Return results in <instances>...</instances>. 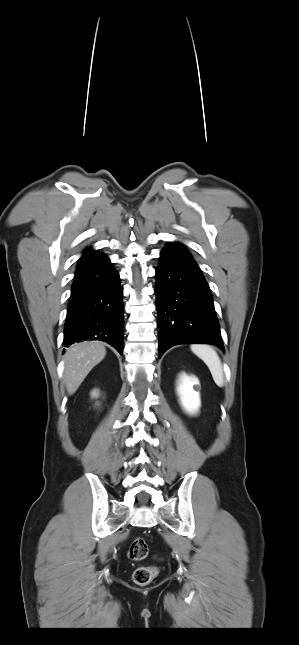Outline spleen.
I'll return each mask as SVG.
<instances>
[{
    "mask_svg": "<svg viewBox=\"0 0 299 645\" xmlns=\"http://www.w3.org/2000/svg\"><path fill=\"white\" fill-rule=\"evenodd\" d=\"M191 350L208 366L215 384L218 387H223V367L217 352L206 344H194L191 346Z\"/></svg>",
    "mask_w": 299,
    "mask_h": 645,
    "instance_id": "1",
    "label": "spleen"
}]
</instances>
